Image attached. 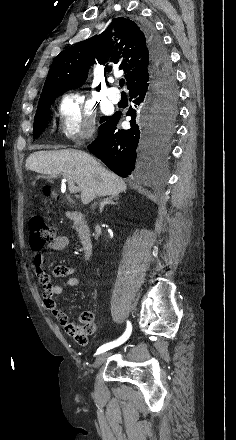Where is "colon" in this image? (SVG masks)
Wrapping results in <instances>:
<instances>
[{
    "label": "colon",
    "instance_id": "1",
    "mask_svg": "<svg viewBox=\"0 0 236 440\" xmlns=\"http://www.w3.org/2000/svg\"><path fill=\"white\" fill-rule=\"evenodd\" d=\"M29 241L34 250L42 249L47 243L51 242L56 235L54 227L47 224L42 216L32 215L29 223Z\"/></svg>",
    "mask_w": 236,
    "mask_h": 440
}]
</instances>
